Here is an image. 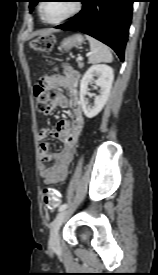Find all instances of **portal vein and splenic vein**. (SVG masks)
<instances>
[{
  "instance_id": "1",
  "label": "portal vein and splenic vein",
  "mask_w": 158,
  "mask_h": 275,
  "mask_svg": "<svg viewBox=\"0 0 158 275\" xmlns=\"http://www.w3.org/2000/svg\"><path fill=\"white\" fill-rule=\"evenodd\" d=\"M82 59H83V58H82V56H80V55H79L78 58H77V60H80V61H81Z\"/></svg>"
}]
</instances>
